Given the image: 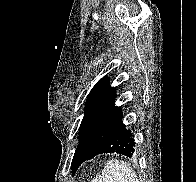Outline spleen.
Returning <instances> with one entry per match:
<instances>
[{
  "label": "spleen",
  "mask_w": 196,
  "mask_h": 182,
  "mask_svg": "<svg viewBox=\"0 0 196 182\" xmlns=\"http://www.w3.org/2000/svg\"><path fill=\"white\" fill-rule=\"evenodd\" d=\"M91 182H139L132 167L122 160L108 161L102 174Z\"/></svg>",
  "instance_id": "3e777b00"
}]
</instances>
